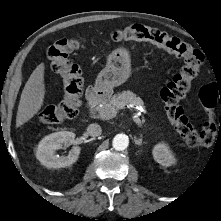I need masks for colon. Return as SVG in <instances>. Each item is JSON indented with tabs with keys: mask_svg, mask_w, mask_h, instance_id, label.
I'll return each instance as SVG.
<instances>
[{
	"mask_svg": "<svg viewBox=\"0 0 221 221\" xmlns=\"http://www.w3.org/2000/svg\"><path fill=\"white\" fill-rule=\"evenodd\" d=\"M111 39L117 43L149 42L183 60L179 72L161 90L160 95L165 105L166 114L189 146L213 143L216 136L214 125L216 87L208 84L200 90V99L208 117L206 126L201 130L191 123L180 104L186 98L192 81L200 71L203 62L202 52L165 32L143 25L118 29L112 33ZM81 44L82 40L79 38H62L54 42L47 50L52 70L62 79L64 94L59 104L47 107L42 111L41 120L46 124H58L66 119L74 118L78 114L83 87L82 71L70 59V54L77 50Z\"/></svg>",
	"mask_w": 221,
	"mask_h": 221,
	"instance_id": "colon-1",
	"label": "colon"
}]
</instances>
